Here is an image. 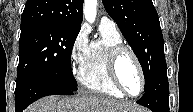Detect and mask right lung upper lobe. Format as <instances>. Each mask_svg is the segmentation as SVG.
Returning a JSON list of instances; mask_svg holds the SVG:
<instances>
[{"mask_svg":"<svg viewBox=\"0 0 193 112\" xmlns=\"http://www.w3.org/2000/svg\"><path fill=\"white\" fill-rule=\"evenodd\" d=\"M84 0H27L21 30L39 25L81 28Z\"/></svg>","mask_w":193,"mask_h":112,"instance_id":"obj_1","label":"right lung upper lobe"}]
</instances>
